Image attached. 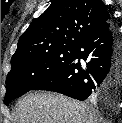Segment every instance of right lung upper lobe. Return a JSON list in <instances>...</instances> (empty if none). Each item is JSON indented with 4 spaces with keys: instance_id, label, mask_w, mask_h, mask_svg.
I'll return each mask as SVG.
<instances>
[{
    "instance_id": "1",
    "label": "right lung upper lobe",
    "mask_w": 122,
    "mask_h": 123,
    "mask_svg": "<svg viewBox=\"0 0 122 123\" xmlns=\"http://www.w3.org/2000/svg\"><path fill=\"white\" fill-rule=\"evenodd\" d=\"M51 2L19 38L11 63L47 52L77 49L89 35L111 21L101 0Z\"/></svg>"
}]
</instances>
